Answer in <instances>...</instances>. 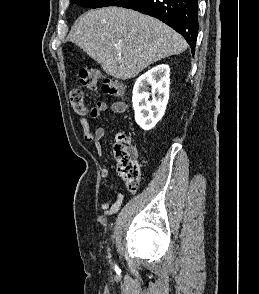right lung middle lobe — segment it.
Returning <instances> with one entry per match:
<instances>
[{
    "label": "right lung middle lobe",
    "instance_id": "right-lung-middle-lobe-1",
    "mask_svg": "<svg viewBox=\"0 0 259 294\" xmlns=\"http://www.w3.org/2000/svg\"><path fill=\"white\" fill-rule=\"evenodd\" d=\"M129 0H70V4H77L82 7H93L95 8H101L106 6H118L121 7L125 3H127Z\"/></svg>",
    "mask_w": 259,
    "mask_h": 294
}]
</instances>
